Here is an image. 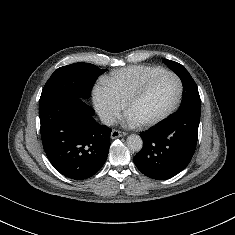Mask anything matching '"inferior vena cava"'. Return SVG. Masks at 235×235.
<instances>
[{"label":"inferior vena cava","mask_w":235,"mask_h":235,"mask_svg":"<svg viewBox=\"0 0 235 235\" xmlns=\"http://www.w3.org/2000/svg\"><path fill=\"white\" fill-rule=\"evenodd\" d=\"M99 118L101 122L107 126H112L116 122L115 117L110 113H105V112L99 113Z\"/></svg>","instance_id":"obj_1"}]
</instances>
